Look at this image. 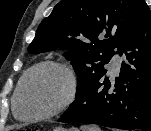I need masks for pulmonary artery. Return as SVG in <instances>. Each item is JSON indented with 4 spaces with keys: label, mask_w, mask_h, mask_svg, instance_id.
Masks as SVG:
<instances>
[{
    "label": "pulmonary artery",
    "mask_w": 151,
    "mask_h": 131,
    "mask_svg": "<svg viewBox=\"0 0 151 131\" xmlns=\"http://www.w3.org/2000/svg\"><path fill=\"white\" fill-rule=\"evenodd\" d=\"M120 63H121V60H120L119 57H114V58L110 61V63H109V68H110V70H111V72H112L113 74L118 73L119 68H120Z\"/></svg>",
    "instance_id": "e3ab8cb5"
}]
</instances>
